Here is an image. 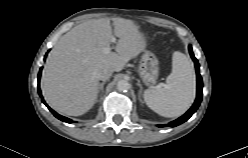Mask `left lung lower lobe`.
<instances>
[{
  "label": "left lung lower lobe",
  "instance_id": "left-lung-lower-lobe-1",
  "mask_svg": "<svg viewBox=\"0 0 248 158\" xmlns=\"http://www.w3.org/2000/svg\"><path fill=\"white\" fill-rule=\"evenodd\" d=\"M189 52L190 55L195 63V68H196V75H197V96H196V100L194 102V104L192 105V107L180 118H178L175 121L170 122L168 125H158L159 127H166V126H171V127H175L178 126L182 123H184L186 120H188L192 114L197 110V108L199 107L201 100H202V78L199 74V64L197 59L194 57L193 51H192V47L189 46Z\"/></svg>",
  "mask_w": 248,
  "mask_h": 158
}]
</instances>
